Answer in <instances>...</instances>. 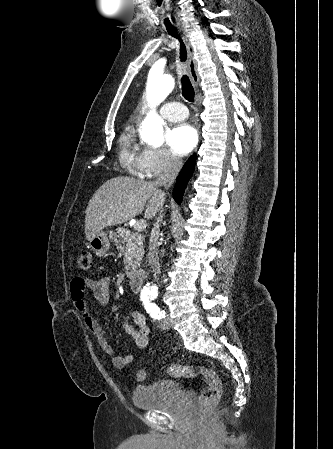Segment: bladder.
<instances>
[{"instance_id": "obj_1", "label": "bladder", "mask_w": 333, "mask_h": 449, "mask_svg": "<svg viewBox=\"0 0 333 449\" xmlns=\"http://www.w3.org/2000/svg\"><path fill=\"white\" fill-rule=\"evenodd\" d=\"M182 387L174 380H161L135 387L132 403L137 409L157 410L172 406L181 395Z\"/></svg>"}]
</instances>
